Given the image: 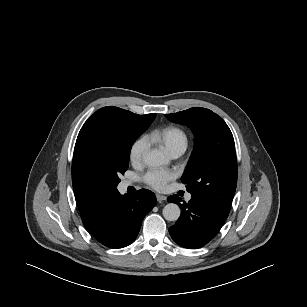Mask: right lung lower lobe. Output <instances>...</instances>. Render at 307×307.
<instances>
[{
  "label": "right lung lower lobe",
  "instance_id": "1",
  "mask_svg": "<svg viewBox=\"0 0 307 307\" xmlns=\"http://www.w3.org/2000/svg\"><path fill=\"white\" fill-rule=\"evenodd\" d=\"M156 204L153 192L141 189L134 195L118 191L101 209L94 223L86 227L92 236L109 248H122L137 237L143 218Z\"/></svg>",
  "mask_w": 307,
  "mask_h": 307
}]
</instances>
